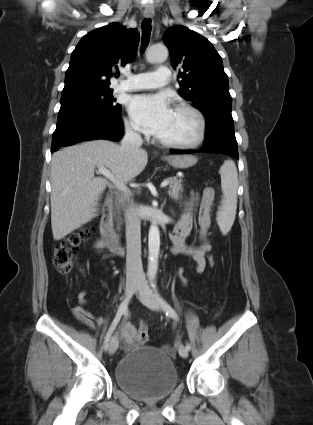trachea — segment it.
Here are the masks:
<instances>
[{"instance_id":"3493384b","label":"trachea","mask_w":313,"mask_h":425,"mask_svg":"<svg viewBox=\"0 0 313 425\" xmlns=\"http://www.w3.org/2000/svg\"><path fill=\"white\" fill-rule=\"evenodd\" d=\"M142 27V49H144L149 42L150 34H151V19L145 18L141 24Z\"/></svg>"}]
</instances>
